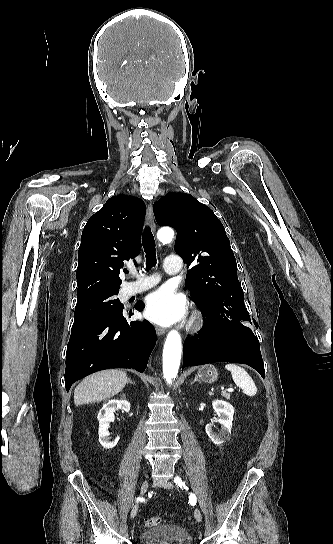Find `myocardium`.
I'll use <instances>...</instances> for the list:
<instances>
[{"label":"myocardium","instance_id":"obj_1","mask_svg":"<svg viewBox=\"0 0 333 544\" xmlns=\"http://www.w3.org/2000/svg\"><path fill=\"white\" fill-rule=\"evenodd\" d=\"M203 324V318L201 316V314L199 313H196L194 318H193V322H192V325H193V328L197 329V328H200Z\"/></svg>","mask_w":333,"mask_h":544}]
</instances>
